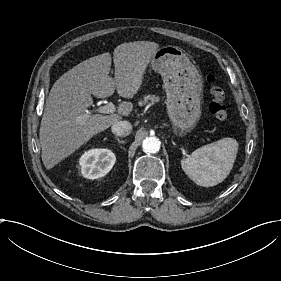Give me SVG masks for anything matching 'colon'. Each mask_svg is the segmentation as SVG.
<instances>
[{
  "label": "colon",
  "mask_w": 281,
  "mask_h": 281,
  "mask_svg": "<svg viewBox=\"0 0 281 281\" xmlns=\"http://www.w3.org/2000/svg\"><path fill=\"white\" fill-rule=\"evenodd\" d=\"M205 85L210 96V111L213 120L223 125L228 122V109L224 98V88L216 76L210 74L205 78Z\"/></svg>",
  "instance_id": "5ec220e1"
}]
</instances>
